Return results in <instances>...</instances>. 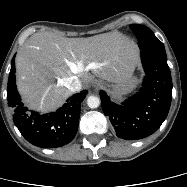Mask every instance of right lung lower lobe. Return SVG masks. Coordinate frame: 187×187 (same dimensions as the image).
Here are the masks:
<instances>
[{
  "label": "right lung lower lobe",
  "instance_id": "right-lung-lower-lobe-1",
  "mask_svg": "<svg viewBox=\"0 0 187 187\" xmlns=\"http://www.w3.org/2000/svg\"><path fill=\"white\" fill-rule=\"evenodd\" d=\"M14 57L7 87V100L13 112L14 124L22 136L35 146L55 148L68 144L77 133L81 102L87 91L74 94L56 112L42 114L30 111L21 102L16 88Z\"/></svg>",
  "mask_w": 187,
  "mask_h": 187
}]
</instances>
